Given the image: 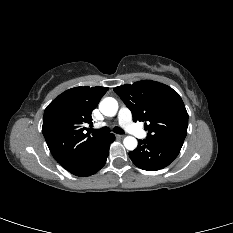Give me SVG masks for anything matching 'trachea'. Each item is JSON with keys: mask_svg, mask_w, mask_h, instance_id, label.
Wrapping results in <instances>:
<instances>
[{"mask_svg": "<svg viewBox=\"0 0 233 233\" xmlns=\"http://www.w3.org/2000/svg\"><path fill=\"white\" fill-rule=\"evenodd\" d=\"M113 131L117 134H124V131L119 128V127H114ZM110 132V128L109 127H103L99 130H92V133H99V134H106Z\"/></svg>", "mask_w": 233, "mask_h": 233, "instance_id": "1", "label": "trachea"}]
</instances>
